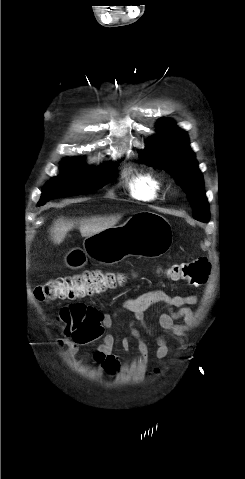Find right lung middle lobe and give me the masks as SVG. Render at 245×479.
I'll list each match as a JSON object with an SVG mask.
<instances>
[{"mask_svg":"<svg viewBox=\"0 0 245 479\" xmlns=\"http://www.w3.org/2000/svg\"><path fill=\"white\" fill-rule=\"evenodd\" d=\"M115 175V169L102 167L93 171L89 170L81 159L67 158L63 161L61 176L51 179L44 186L38 205H44L45 202L55 198L96 191L111 182Z\"/></svg>","mask_w":245,"mask_h":479,"instance_id":"obj_1","label":"right lung middle lobe"}]
</instances>
